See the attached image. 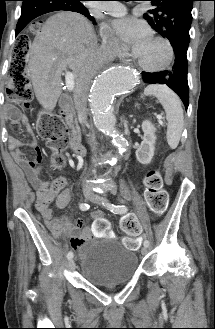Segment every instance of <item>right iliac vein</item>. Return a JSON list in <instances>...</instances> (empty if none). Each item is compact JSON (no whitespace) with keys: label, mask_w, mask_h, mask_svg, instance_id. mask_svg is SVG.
<instances>
[{"label":"right iliac vein","mask_w":215,"mask_h":329,"mask_svg":"<svg viewBox=\"0 0 215 329\" xmlns=\"http://www.w3.org/2000/svg\"><path fill=\"white\" fill-rule=\"evenodd\" d=\"M83 195L86 199H90L92 196V193L90 192V190H84L83 191ZM68 267L70 270H74L75 269V261L74 259H70L69 263H68Z\"/></svg>","instance_id":"right-iliac-vein-1"}]
</instances>
